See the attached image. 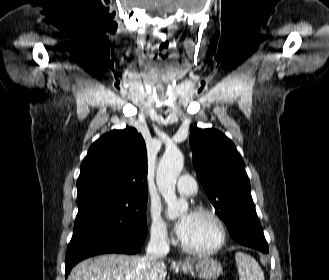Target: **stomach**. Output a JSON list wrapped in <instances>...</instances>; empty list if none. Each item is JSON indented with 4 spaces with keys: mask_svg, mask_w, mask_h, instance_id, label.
<instances>
[{
    "mask_svg": "<svg viewBox=\"0 0 329 280\" xmlns=\"http://www.w3.org/2000/svg\"><path fill=\"white\" fill-rule=\"evenodd\" d=\"M182 271L204 280H216L222 274V265L214 259H200L181 266Z\"/></svg>",
    "mask_w": 329,
    "mask_h": 280,
    "instance_id": "0dacf381",
    "label": "stomach"
}]
</instances>
